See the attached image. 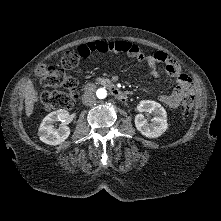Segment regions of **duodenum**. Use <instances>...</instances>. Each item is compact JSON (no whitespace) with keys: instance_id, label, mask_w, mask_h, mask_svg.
<instances>
[{"instance_id":"obj_1","label":"duodenum","mask_w":221,"mask_h":221,"mask_svg":"<svg viewBox=\"0 0 221 221\" xmlns=\"http://www.w3.org/2000/svg\"><path fill=\"white\" fill-rule=\"evenodd\" d=\"M101 84L109 89V91L112 93V95L117 98L119 101L126 102L128 100V94L119 89L117 86H115L113 83L110 81L104 80L101 82ZM93 85L92 84H87L84 88L85 93H89L93 90Z\"/></svg>"}]
</instances>
